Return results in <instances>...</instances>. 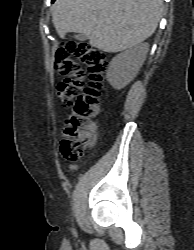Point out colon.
<instances>
[{"label":"colon","instance_id":"5ec220e1","mask_svg":"<svg viewBox=\"0 0 194 250\" xmlns=\"http://www.w3.org/2000/svg\"><path fill=\"white\" fill-rule=\"evenodd\" d=\"M79 62L86 66L89 78L84 89ZM107 67L105 53L87 43L70 41L56 51L55 70L63 77L57 85V95L69 110L60 146L62 157L67 162L77 163L85 155L91 137L89 123L99 112Z\"/></svg>","mask_w":194,"mask_h":250}]
</instances>
